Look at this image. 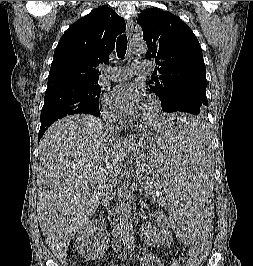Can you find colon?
Segmentation results:
<instances>
[{
	"label": "colon",
	"instance_id": "colon-1",
	"mask_svg": "<svg viewBox=\"0 0 253 266\" xmlns=\"http://www.w3.org/2000/svg\"><path fill=\"white\" fill-rule=\"evenodd\" d=\"M210 248V242H206L205 248H190L183 261L184 266H200Z\"/></svg>",
	"mask_w": 253,
	"mask_h": 266
}]
</instances>
